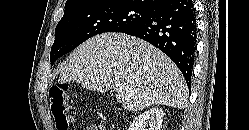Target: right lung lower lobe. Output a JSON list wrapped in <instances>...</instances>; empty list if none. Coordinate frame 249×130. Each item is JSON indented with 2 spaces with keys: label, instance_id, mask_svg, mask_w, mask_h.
<instances>
[{
  "label": "right lung lower lobe",
  "instance_id": "obj_1",
  "mask_svg": "<svg viewBox=\"0 0 249 130\" xmlns=\"http://www.w3.org/2000/svg\"><path fill=\"white\" fill-rule=\"evenodd\" d=\"M120 32L159 48L175 62L190 88L197 38L196 11L191 0H167L148 18Z\"/></svg>",
  "mask_w": 249,
  "mask_h": 130
}]
</instances>
